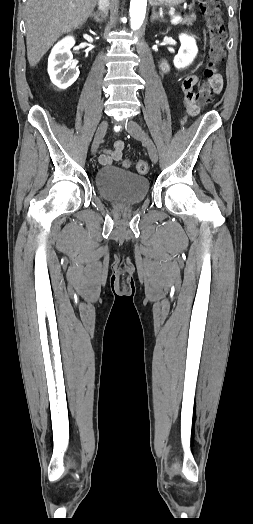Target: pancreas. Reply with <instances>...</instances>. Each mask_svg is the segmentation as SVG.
Instances as JSON below:
<instances>
[{
	"label": "pancreas",
	"instance_id": "1",
	"mask_svg": "<svg viewBox=\"0 0 253 524\" xmlns=\"http://www.w3.org/2000/svg\"><path fill=\"white\" fill-rule=\"evenodd\" d=\"M195 15L191 14L189 16H186L183 20H181L180 24H186L187 26H192L193 21L195 20Z\"/></svg>",
	"mask_w": 253,
	"mask_h": 524
}]
</instances>
